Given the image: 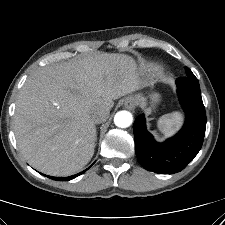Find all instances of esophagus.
<instances>
[{
    "label": "esophagus",
    "instance_id": "obj_1",
    "mask_svg": "<svg viewBox=\"0 0 225 225\" xmlns=\"http://www.w3.org/2000/svg\"><path fill=\"white\" fill-rule=\"evenodd\" d=\"M124 106L126 109L133 111L136 108V102H135L134 98L127 97L124 101Z\"/></svg>",
    "mask_w": 225,
    "mask_h": 225
}]
</instances>
